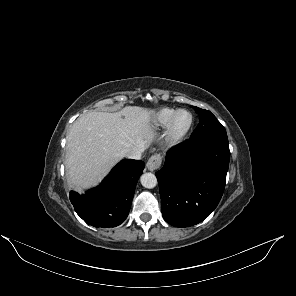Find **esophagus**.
<instances>
[{"instance_id": "esophagus-1", "label": "esophagus", "mask_w": 296, "mask_h": 296, "mask_svg": "<svg viewBox=\"0 0 296 296\" xmlns=\"http://www.w3.org/2000/svg\"><path fill=\"white\" fill-rule=\"evenodd\" d=\"M161 162H162L161 156L158 154H155L149 158L146 166L149 171L153 172L161 166Z\"/></svg>"}]
</instances>
